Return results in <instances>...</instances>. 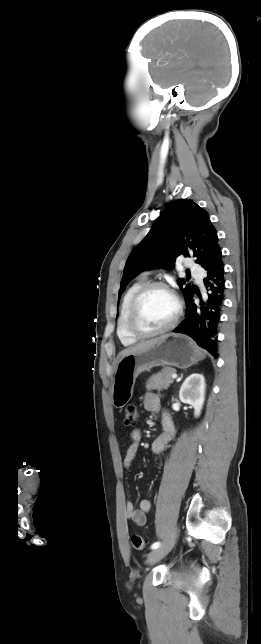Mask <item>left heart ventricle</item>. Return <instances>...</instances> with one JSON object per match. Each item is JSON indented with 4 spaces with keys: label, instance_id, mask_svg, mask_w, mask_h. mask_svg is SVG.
<instances>
[{
    "label": "left heart ventricle",
    "instance_id": "1",
    "mask_svg": "<svg viewBox=\"0 0 261 644\" xmlns=\"http://www.w3.org/2000/svg\"><path fill=\"white\" fill-rule=\"evenodd\" d=\"M175 311L176 302L170 293L160 288L152 289L140 303L137 326L144 332L158 330L170 323Z\"/></svg>",
    "mask_w": 261,
    "mask_h": 644
}]
</instances>
